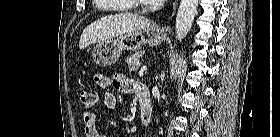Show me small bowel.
Segmentation results:
<instances>
[{"instance_id":"obj_1","label":"small bowel","mask_w":280,"mask_h":137,"mask_svg":"<svg viewBox=\"0 0 280 137\" xmlns=\"http://www.w3.org/2000/svg\"><path fill=\"white\" fill-rule=\"evenodd\" d=\"M96 84L101 87L102 89H109L110 87L115 88L116 90L122 93H135L137 94V83L133 82L132 80L126 78L121 73H116L112 77L104 74L98 73L95 76ZM104 105L107 109H114L117 105V98L115 94L112 92L107 91L104 94ZM82 124L84 126L86 137H103L96 125V115L92 112H83L81 115Z\"/></svg>"}]
</instances>
